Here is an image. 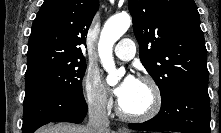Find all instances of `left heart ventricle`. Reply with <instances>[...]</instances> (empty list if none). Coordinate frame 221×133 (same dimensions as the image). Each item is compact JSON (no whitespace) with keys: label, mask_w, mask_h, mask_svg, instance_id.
Segmentation results:
<instances>
[{"label":"left heart ventricle","mask_w":221,"mask_h":133,"mask_svg":"<svg viewBox=\"0 0 221 133\" xmlns=\"http://www.w3.org/2000/svg\"><path fill=\"white\" fill-rule=\"evenodd\" d=\"M151 100L152 96L149 87L138 81L133 91L121 100V104L128 113H142L149 108Z\"/></svg>","instance_id":"left-heart-ventricle-1"}]
</instances>
